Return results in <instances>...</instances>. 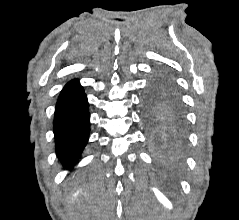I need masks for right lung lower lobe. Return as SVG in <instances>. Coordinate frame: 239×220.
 Returning a JSON list of instances; mask_svg holds the SVG:
<instances>
[{
    "label": "right lung lower lobe",
    "instance_id": "obj_1",
    "mask_svg": "<svg viewBox=\"0 0 239 220\" xmlns=\"http://www.w3.org/2000/svg\"><path fill=\"white\" fill-rule=\"evenodd\" d=\"M90 130L88 101L83 87L72 80L62 89L56 104L54 134L56 154L66 169L78 162Z\"/></svg>",
    "mask_w": 239,
    "mask_h": 220
}]
</instances>
